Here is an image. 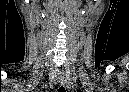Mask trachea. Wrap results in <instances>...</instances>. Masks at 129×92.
Returning a JSON list of instances; mask_svg holds the SVG:
<instances>
[{
	"mask_svg": "<svg viewBox=\"0 0 129 92\" xmlns=\"http://www.w3.org/2000/svg\"><path fill=\"white\" fill-rule=\"evenodd\" d=\"M58 92H66V91H65V88L62 86V87H60V88L58 89Z\"/></svg>",
	"mask_w": 129,
	"mask_h": 92,
	"instance_id": "3493384b",
	"label": "trachea"
}]
</instances>
